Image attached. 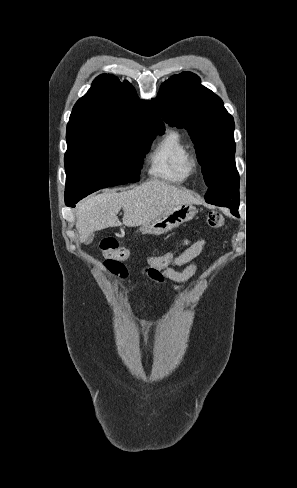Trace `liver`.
Returning <instances> with one entry per match:
<instances>
[{
    "label": "liver",
    "instance_id": "6515ba94",
    "mask_svg": "<svg viewBox=\"0 0 297 488\" xmlns=\"http://www.w3.org/2000/svg\"><path fill=\"white\" fill-rule=\"evenodd\" d=\"M196 202L197 199L186 191L151 180L132 190L120 193L109 190L83 200L77 206L76 228L80 242H87L95 231L121 226L117 216L121 208L124 211L123 224L133 227L151 222L176 205Z\"/></svg>",
    "mask_w": 297,
    "mask_h": 488
}]
</instances>
